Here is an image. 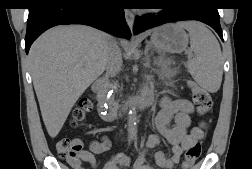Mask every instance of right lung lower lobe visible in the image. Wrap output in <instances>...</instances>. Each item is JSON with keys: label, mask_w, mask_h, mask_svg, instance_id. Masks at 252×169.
I'll return each instance as SVG.
<instances>
[{"label": "right lung lower lobe", "mask_w": 252, "mask_h": 169, "mask_svg": "<svg viewBox=\"0 0 252 169\" xmlns=\"http://www.w3.org/2000/svg\"><path fill=\"white\" fill-rule=\"evenodd\" d=\"M60 24H84L117 37H131L118 0H36L29 8L26 53L38 36Z\"/></svg>", "instance_id": "98d812e1"}]
</instances>
